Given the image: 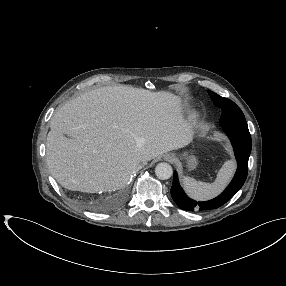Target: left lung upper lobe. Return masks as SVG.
Listing matches in <instances>:
<instances>
[{"label":"left lung upper lobe","instance_id":"left-lung-upper-lobe-1","mask_svg":"<svg viewBox=\"0 0 286 286\" xmlns=\"http://www.w3.org/2000/svg\"><path fill=\"white\" fill-rule=\"evenodd\" d=\"M208 93L214 102V105L222 109V115L223 116H237V117H244L243 112L241 109L230 99L224 98L219 96L218 94L209 91Z\"/></svg>","mask_w":286,"mask_h":286}]
</instances>
